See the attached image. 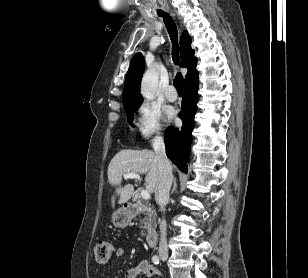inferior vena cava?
<instances>
[{"label": "inferior vena cava", "mask_w": 308, "mask_h": 278, "mask_svg": "<svg viewBox=\"0 0 308 278\" xmlns=\"http://www.w3.org/2000/svg\"><path fill=\"white\" fill-rule=\"evenodd\" d=\"M153 148L156 153L159 179L155 190V200L162 212H165V206L169 202V192L173 182L172 166L165 153V144L162 136H157L153 142ZM166 221L162 219L160 222V242L159 253H167L168 246L166 240Z\"/></svg>", "instance_id": "602c4592"}]
</instances>
